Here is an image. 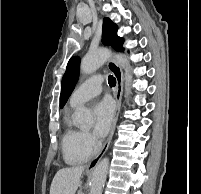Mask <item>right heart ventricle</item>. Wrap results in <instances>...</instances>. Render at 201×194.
Listing matches in <instances>:
<instances>
[{
  "instance_id": "1",
  "label": "right heart ventricle",
  "mask_w": 201,
  "mask_h": 194,
  "mask_svg": "<svg viewBox=\"0 0 201 194\" xmlns=\"http://www.w3.org/2000/svg\"><path fill=\"white\" fill-rule=\"evenodd\" d=\"M82 131L73 125L70 114L64 117V132L62 135V149L64 159L69 164H80L87 161L92 151L86 149L81 141Z\"/></svg>"
}]
</instances>
